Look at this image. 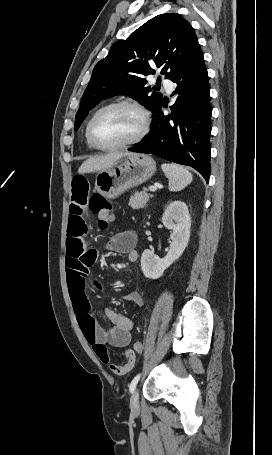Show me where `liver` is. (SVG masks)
<instances>
[{
	"instance_id": "obj_1",
	"label": "liver",
	"mask_w": 272,
	"mask_h": 455,
	"mask_svg": "<svg viewBox=\"0 0 272 455\" xmlns=\"http://www.w3.org/2000/svg\"><path fill=\"white\" fill-rule=\"evenodd\" d=\"M133 153H114L92 157L82 163L78 169L79 174L100 172L108 170L118 163V160L127 156H132Z\"/></svg>"
}]
</instances>
